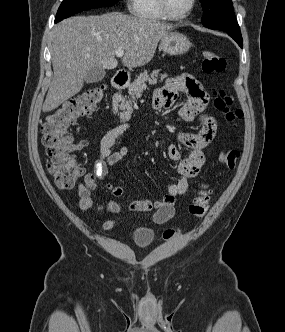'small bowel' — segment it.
<instances>
[{
    "label": "small bowel",
    "instance_id": "obj_1",
    "mask_svg": "<svg viewBox=\"0 0 285 332\" xmlns=\"http://www.w3.org/2000/svg\"><path fill=\"white\" fill-rule=\"evenodd\" d=\"M178 93L186 95V103L178 111V117L182 121H192L199 117L201 127L197 132H183L179 134V145L186 148L189 153L182 158L179 146L172 144L168 147V157L178 162V180L168 187V193L160 200H135L124 195L120 186L106 182V187L114 197L123 198L127 209L136 212L153 211V221L162 224L173 218L175 214L174 204L178 196L184 195L189 189V179L194 177L205 162L204 148H206L216 136L217 122L214 117L203 114L209 103V95L202 84L190 74L169 79L165 86L155 92L153 107L156 110L169 108L175 102ZM130 128L129 123H121L108 130L100 141L99 156L95 162L94 170L87 173L83 182L78 185L79 207L83 211L98 210L116 213L120 210L117 202H109L106 206L95 205L93 194L97 189L99 180H106L110 166L117 164L129 152L127 146L113 151V147L120 136ZM110 222L109 226H113Z\"/></svg>",
    "mask_w": 285,
    "mask_h": 332
}]
</instances>
